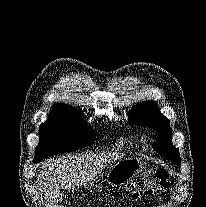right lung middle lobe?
<instances>
[{
  "mask_svg": "<svg viewBox=\"0 0 206 207\" xmlns=\"http://www.w3.org/2000/svg\"><path fill=\"white\" fill-rule=\"evenodd\" d=\"M83 113L53 109L48 120L40 125V142L35 151V159L71 152L95 141L91 126L82 121Z\"/></svg>",
  "mask_w": 206,
  "mask_h": 207,
  "instance_id": "right-lung-middle-lobe-1",
  "label": "right lung middle lobe"
}]
</instances>
